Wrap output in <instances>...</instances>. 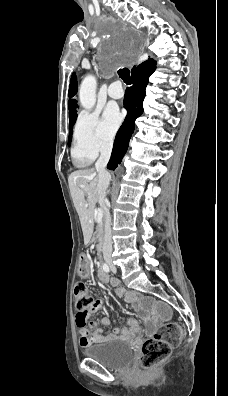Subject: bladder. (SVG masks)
<instances>
[{
	"label": "bladder",
	"instance_id": "bladder-1",
	"mask_svg": "<svg viewBox=\"0 0 228 396\" xmlns=\"http://www.w3.org/2000/svg\"><path fill=\"white\" fill-rule=\"evenodd\" d=\"M83 354L109 369H124L133 361V350L128 341L122 339L108 340L90 345Z\"/></svg>",
	"mask_w": 228,
	"mask_h": 396
}]
</instances>
